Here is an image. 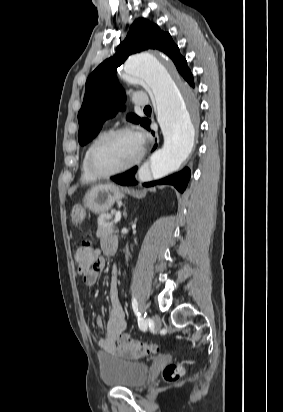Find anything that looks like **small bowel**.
I'll use <instances>...</instances> for the list:
<instances>
[{"instance_id": "obj_1", "label": "small bowel", "mask_w": 283, "mask_h": 412, "mask_svg": "<svg viewBox=\"0 0 283 412\" xmlns=\"http://www.w3.org/2000/svg\"><path fill=\"white\" fill-rule=\"evenodd\" d=\"M115 243H117V241L113 238H103L101 240V249L103 253L113 254L110 252V247ZM97 253L100 260L99 264L92 267L84 275V282L87 285H94L97 282L100 271L104 267V259L98 251ZM119 288V270L117 267H114L110 280V312L106 324V332L98 341L99 353L101 356H126L116 345L117 338L124 332L127 325L125 311L120 301ZM96 325L97 327L102 328L104 325L103 320L97 318Z\"/></svg>"}]
</instances>
